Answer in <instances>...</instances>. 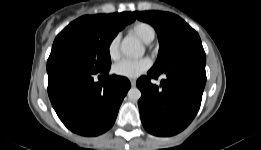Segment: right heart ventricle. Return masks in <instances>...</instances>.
<instances>
[{"label": "right heart ventricle", "mask_w": 261, "mask_h": 150, "mask_svg": "<svg viewBox=\"0 0 261 150\" xmlns=\"http://www.w3.org/2000/svg\"><path fill=\"white\" fill-rule=\"evenodd\" d=\"M130 32L145 43L151 42L156 35L155 28L147 22L138 21L130 27Z\"/></svg>", "instance_id": "right-heart-ventricle-1"}]
</instances>
